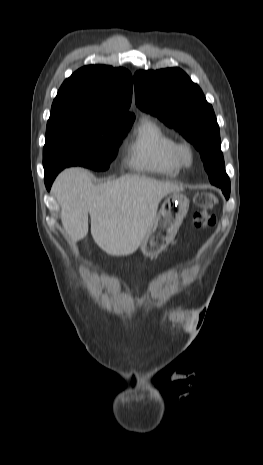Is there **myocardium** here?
Wrapping results in <instances>:
<instances>
[{
	"label": "myocardium",
	"instance_id": "1",
	"mask_svg": "<svg viewBox=\"0 0 263 465\" xmlns=\"http://www.w3.org/2000/svg\"><path fill=\"white\" fill-rule=\"evenodd\" d=\"M175 157L183 167H190L195 161V150L188 141L176 142L174 147Z\"/></svg>",
	"mask_w": 263,
	"mask_h": 465
}]
</instances>
